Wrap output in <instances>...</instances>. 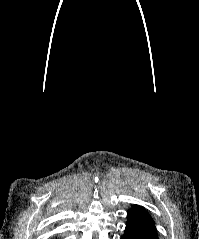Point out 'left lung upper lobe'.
<instances>
[{
  "label": "left lung upper lobe",
  "mask_w": 199,
  "mask_h": 239,
  "mask_svg": "<svg viewBox=\"0 0 199 239\" xmlns=\"http://www.w3.org/2000/svg\"><path fill=\"white\" fill-rule=\"evenodd\" d=\"M132 209L136 210V211H139L143 214H146L147 216L150 217L149 213L143 207H139V206L135 205V206L132 207Z\"/></svg>",
  "instance_id": "1"
}]
</instances>
